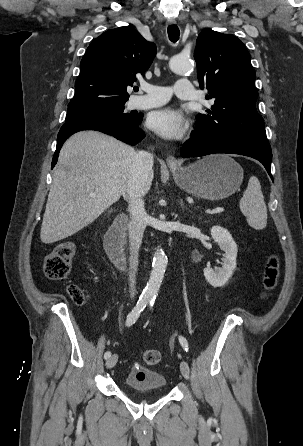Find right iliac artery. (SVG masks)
Segmentation results:
<instances>
[{
	"instance_id": "82829eb1",
	"label": "right iliac artery",
	"mask_w": 303,
	"mask_h": 446,
	"mask_svg": "<svg viewBox=\"0 0 303 446\" xmlns=\"http://www.w3.org/2000/svg\"><path fill=\"white\" fill-rule=\"evenodd\" d=\"M147 303H148V301L146 299H139L136 306L132 309V311L127 316V319H126L127 327L133 325L137 321L138 317L140 316V313L144 310ZM110 356H111L110 351L105 352V354H104L105 359H108Z\"/></svg>"
}]
</instances>
